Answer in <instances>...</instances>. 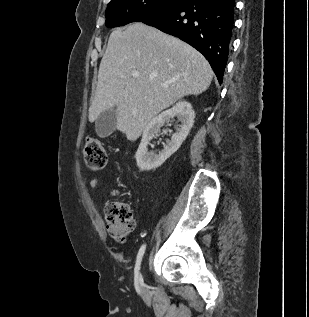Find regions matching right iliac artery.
Segmentation results:
<instances>
[{
  "label": "right iliac artery",
  "instance_id": "1",
  "mask_svg": "<svg viewBox=\"0 0 309 317\" xmlns=\"http://www.w3.org/2000/svg\"><path fill=\"white\" fill-rule=\"evenodd\" d=\"M145 249H146V245L143 244L138 251L137 258H136V264H135V280H136L137 284L140 286L143 285V278H142V275L140 273V266H141V261H142Z\"/></svg>",
  "mask_w": 309,
  "mask_h": 317
}]
</instances>
